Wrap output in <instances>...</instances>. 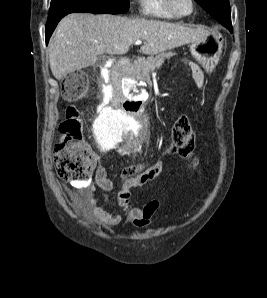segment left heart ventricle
Wrapping results in <instances>:
<instances>
[{"label":"left heart ventricle","mask_w":267,"mask_h":298,"mask_svg":"<svg viewBox=\"0 0 267 298\" xmlns=\"http://www.w3.org/2000/svg\"><path fill=\"white\" fill-rule=\"evenodd\" d=\"M175 9L182 14H186L191 10L190 0H172Z\"/></svg>","instance_id":"b2bd125f"}]
</instances>
